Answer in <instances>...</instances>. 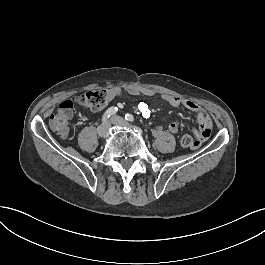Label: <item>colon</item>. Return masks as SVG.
I'll return each mask as SVG.
<instances>
[{"mask_svg":"<svg viewBox=\"0 0 265 265\" xmlns=\"http://www.w3.org/2000/svg\"><path fill=\"white\" fill-rule=\"evenodd\" d=\"M111 100V94L108 90L94 89L86 91L80 94L78 97L72 94L62 106L50 117V126L52 129L59 132L62 138L67 136L66 129V113L70 112L72 105L78 102L84 109L89 112H97L107 106ZM194 136L185 135L181 139V143L184 147L191 148V142Z\"/></svg>","mask_w":265,"mask_h":265,"instance_id":"colon-1","label":"colon"}]
</instances>
